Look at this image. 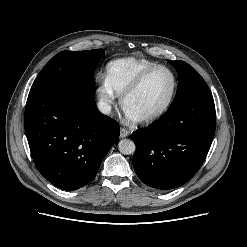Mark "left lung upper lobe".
<instances>
[{
	"instance_id": "1",
	"label": "left lung upper lobe",
	"mask_w": 247,
	"mask_h": 247,
	"mask_svg": "<svg viewBox=\"0 0 247 247\" xmlns=\"http://www.w3.org/2000/svg\"><path fill=\"white\" fill-rule=\"evenodd\" d=\"M179 76L177 94L170 107L195 97H212L211 91L200 74L184 61H169Z\"/></svg>"
}]
</instances>
